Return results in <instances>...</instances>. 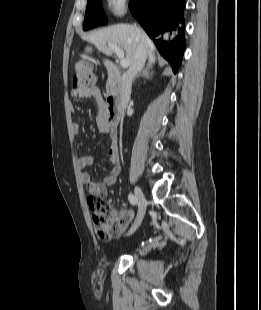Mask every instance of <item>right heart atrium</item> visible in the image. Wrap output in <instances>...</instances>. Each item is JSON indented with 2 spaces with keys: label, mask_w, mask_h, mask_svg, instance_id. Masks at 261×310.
Returning a JSON list of instances; mask_svg holds the SVG:
<instances>
[{
  "label": "right heart atrium",
  "mask_w": 261,
  "mask_h": 310,
  "mask_svg": "<svg viewBox=\"0 0 261 310\" xmlns=\"http://www.w3.org/2000/svg\"><path fill=\"white\" fill-rule=\"evenodd\" d=\"M130 0H106L109 12L115 17H121L125 14Z\"/></svg>",
  "instance_id": "d8ad5b80"
}]
</instances>
